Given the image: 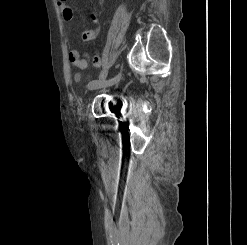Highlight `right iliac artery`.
Instances as JSON below:
<instances>
[{
    "instance_id": "right-iliac-artery-1",
    "label": "right iliac artery",
    "mask_w": 247,
    "mask_h": 245,
    "mask_svg": "<svg viewBox=\"0 0 247 245\" xmlns=\"http://www.w3.org/2000/svg\"><path fill=\"white\" fill-rule=\"evenodd\" d=\"M110 60L108 61V62H106L105 63V66H104V68H102V72H101V74H100V76H99V78H98V80H93V81H91L90 83H89V87H98V85L100 84V82H105V81H107L108 80V69H109V66H110Z\"/></svg>"
}]
</instances>
